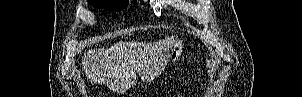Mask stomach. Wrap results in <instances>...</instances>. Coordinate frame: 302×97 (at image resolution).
<instances>
[{
	"instance_id": "stomach-1",
	"label": "stomach",
	"mask_w": 302,
	"mask_h": 97,
	"mask_svg": "<svg viewBox=\"0 0 302 97\" xmlns=\"http://www.w3.org/2000/svg\"><path fill=\"white\" fill-rule=\"evenodd\" d=\"M184 46H185V41L184 39H178L176 40V43L169 55V59L168 62H172L175 63L176 61L179 60V58L181 57L183 50H184Z\"/></svg>"
}]
</instances>
